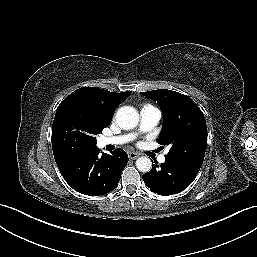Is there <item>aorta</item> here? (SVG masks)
<instances>
[{
  "label": "aorta",
  "instance_id": "aorta-1",
  "mask_svg": "<svg viewBox=\"0 0 257 257\" xmlns=\"http://www.w3.org/2000/svg\"><path fill=\"white\" fill-rule=\"evenodd\" d=\"M116 122L124 130L133 129L139 123V114L133 107L123 106L116 113ZM136 167L139 171L147 173L152 168V162L147 157H140L136 160Z\"/></svg>",
  "mask_w": 257,
  "mask_h": 257
}]
</instances>
